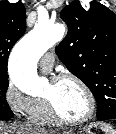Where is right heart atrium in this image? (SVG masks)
I'll use <instances>...</instances> for the list:
<instances>
[{"label":"right heart atrium","instance_id":"1","mask_svg":"<svg viewBox=\"0 0 116 134\" xmlns=\"http://www.w3.org/2000/svg\"><path fill=\"white\" fill-rule=\"evenodd\" d=\"M4 100L10 110L18 116L29 115L34 107L33 98L21 92L11 80L5 87Z\"/></svg>","mask_w":116,"mask_h":134}]
</instances>
